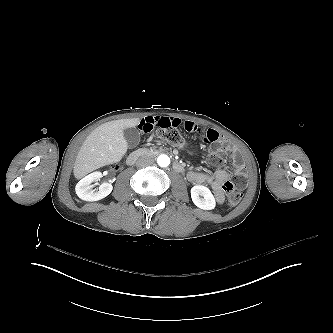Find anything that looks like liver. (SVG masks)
<instances>
[{
    "label": "liver",
    "mask_w": 333,
    "mask_h": 333,
    "mask_svg": "<svg viewBox=\"0 0 333 333\" xmlns=\"http://www.w3.org/2000/svg\"><path fill=\"white\" fill-rule=\"evenodd\" d=\"M139 123L140 118L120 119L103 123L94 129L76 157L73 168L75 178L81 179L93 170L119 162L128 148L123 130Z\"/></svg>",
    "instance_id": "obj_1"
}]
</instances>
